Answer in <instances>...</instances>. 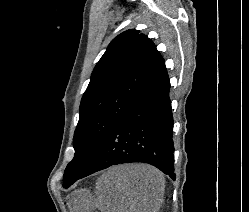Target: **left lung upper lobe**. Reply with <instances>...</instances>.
I'll return each mask as SVG.
<instances>
[{
    "label": "left lung upper lobe",
    "mask_w": 249,
    "mask_h": 212,
    "mask_svg": "<svg viewBox=\"0 0 249 212\" xmlns=\"http://www.w3.org/2000/svg\"><path fill=\"white\" fill-rule=\"evenodd\" d=\"M163 63L154 43L137 30H127L112 40L81 100L75 155L65 169L64 188L88 169L115 123Z\"/></svg>",
    "instance_id": "5c2ea615"
}]
</instances>
